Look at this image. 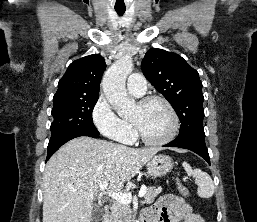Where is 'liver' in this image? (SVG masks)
Returning a JSON list of instances; mask_svg holds the SVG:
<instances>
[{"label": "liver", "mask_w": 257, "mask_h": 222, "mask_svg": "<svg viewBox=\"0 0 257 222\" xmlns=\"http://www.w3.org/2000/svg\"><path fill=\"white\" fill-rule=\"evenodd\" d=\"M160 148L134 149L78 137L64 144L43 174V222H90L100 185L119 191Z\"/></svg>", "instance_id": "6515ba94"}]
</instances>
